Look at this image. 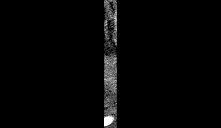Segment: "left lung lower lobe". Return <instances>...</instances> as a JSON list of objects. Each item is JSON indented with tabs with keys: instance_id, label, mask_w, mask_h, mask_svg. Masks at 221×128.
<instances>
[{
	"instance_id": "0a47b994",
	"label": "left lung lower lobe",
	"mask_w": 221,
	"mask_h": 128,
	"mask_svg": "<svg viewBox=\"0 0 221 128\" xmlns=\"http://www.w3.org/2000/svg\"><path fill=\"white\" fill-rule=\"evenodd\" d=\"M85 125L83 128H104L103 126V112H100L99 114L94 113L92 118H87L85 120ZM127 124L124 121L117 122V128H128Z\"/></svg>"
}]
</instances>
